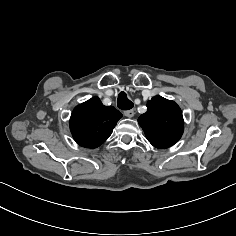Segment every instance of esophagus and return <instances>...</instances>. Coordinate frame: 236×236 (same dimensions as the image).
Returning <instances> with one entry per match:
<instances>
[{
	"label": "esophagus",
	"mask_w": 236,
	"mask_h": 236,
	"mask_svg": "<svg viewBox=\"0 0 236 236\" xmlns=\"http://www.w3.org/2000/svg\"><path fill=\"white\" fill-rule=\"evenodd\" d=\"M124 115H125L126 117H128V118H131V117L134 116V110H133V109H131V110H126V111H124Z\"/></svg>",
	"instance_id": "1"
}]
</instances>
